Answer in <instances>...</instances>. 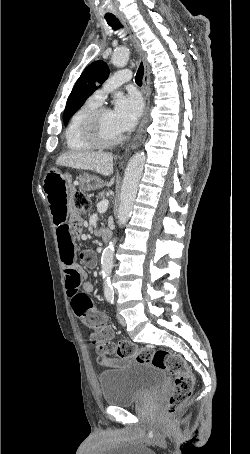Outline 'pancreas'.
<instances>
[{
  "label": "pancreas",
  "instance_id": "1",
  "mask_svg": "<svg viewBox=\"0 0 250 454\" xmlns=\"http://www.w3.org/2000/svg\"><path fill=\"white\" fill-rule=\"evenodd\" d=\"M104 198H105V192H104V191H103V192H100V193L98 194V199H104Z\"/></svg>",
  "mask_w": 250,
  "mask_h": 454
}]
</instances>
